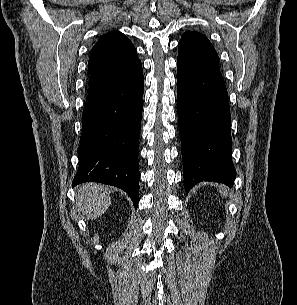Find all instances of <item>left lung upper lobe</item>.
I'll return each instance as SVG.
<instances>
[{
  "label": "left lung upper lobe",
  "mask_w": 297,
  "mask_h": 305,
  "mask_svg": "<svg viewBox=\"0 0 297 305\" xmlns=\"http://www.w3.org/2000/svg\"><path fill=\"white\" fill-rule=\"evenodd\" d=\"M178 48L177 64L185 71L220 70L218 54L205 35L187 31L182 35Z\"/></svg>",
  "instance_id": "left-lung-upper-lobe-1"
}]
</instances>
